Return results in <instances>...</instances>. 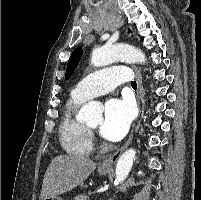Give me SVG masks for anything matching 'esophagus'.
Masks as SVG:
<instances>
[{"label": "esophagus", "mask_w": 201, "mask_h": 200, "mask_svg": "<svg viewBox=\"0 0 201 200\" xmlns=\"http://www.w3.org/2000/svg\"><path fill=\"white\" fill-rule=\"evenodd\" d=\"M132 67L135 72V76H136L137 83H138L137 95H136L137 103H138V107H139V112H140V114H142L143 113V106L141 105L142 86H143L142 75L136 66H132ZM133 134H134V129L131 131V133H130L128 139L125 141V143L114 154H112L111 156L105 158L104 160H102L100 162V164H99L100 169L112 168L113 164L118 160V158L121 156L123 151L130 145V143L133 139Z\"/></svg>", "instance_id": "esophagus-1"}]
</instances>
